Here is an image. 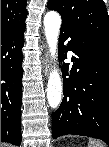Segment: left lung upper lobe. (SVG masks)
Masks as SVG:
<instances>
[{"label": "left lung upper lobe", "instance_id": "obj_1", "mask_svg": "<svg viewBox=\"0 0 109 147\" xmlns=\"http://www.w3.org/2000/svg\"><path fill=\"white\" fill-rule=\"evenodd\" d=\"M48 9L62 17V24L109 44V15L103 0H49Z\"/></svg>", "mask_w": 109, "mask_h": 147}]
</instances>
